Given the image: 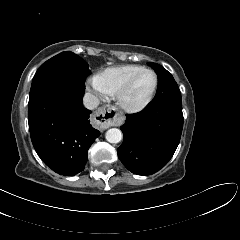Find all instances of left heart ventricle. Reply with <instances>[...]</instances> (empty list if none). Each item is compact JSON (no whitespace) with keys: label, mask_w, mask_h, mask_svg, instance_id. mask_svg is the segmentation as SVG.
I'll return each instance as SVG.
<instances>
[{"label":"left heart ventricle","mask_w":240,"mask_h":240,"mask_svg":"<svg viewBox=\"0 0 240 240\" xmlns=\"http://www.w3.org/2000/svg\"><path fill=\"white\" fill-rule=\"evenodd\" d=\"M155 83L152 73L141 74L126 93L124 100L127 104L138 105L144 102L150 95Z\"/></svg>","instance_id":"obj_1"}]
</instances>
